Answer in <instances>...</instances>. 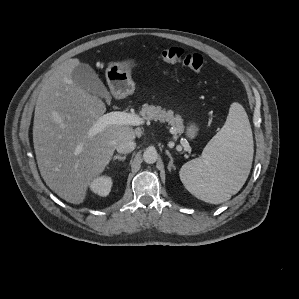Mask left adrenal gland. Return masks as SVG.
<instances>
[{
	"instance_id": "obj_1",
	"label": "left adrenal gland",
	"mask_w": 299,
	"mask_h": 299,
	"mask_svg": "<svg viewBox=\"0 0 299 299\" xmlns=\"http://www.w3.org/2000/svg\"><path fill=\"white\" fill-rule=\"evenodd\" d=\"M166 155H168V157L170 158L169 164H168V170L171 171V169L173 168L175 170V166H174V161L173 158L170 154V152L168 150H166Z\"/></svg>"
}]
</instances>
